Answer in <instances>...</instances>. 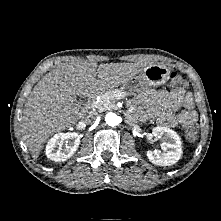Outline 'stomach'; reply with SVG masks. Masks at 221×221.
I'll return each mask as SVG.
<instances>
[{
  "label": "stomach",
  "mask_w": 221,
  "mask_h": 221,
  "mask_svg": "<svg viewBox=\"0 0 221 221\" xmlns=\"http://www.w3.org/2000/svg\"><path fill=\"white\" fill-rule=\"evenodd\" d=\"M170 77V70L163 65L152 64L145 67L139 77H133L123 85L122 89L126 94H133L135 97L142 89L159 87L167 82Z\"/></svg>",
  "instance_id": "0dacf381"
}]
</instances>
